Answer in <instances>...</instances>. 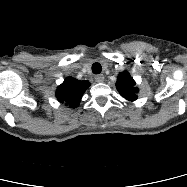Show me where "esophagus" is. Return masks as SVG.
Masks as SVG:
<instances>
[{"label":"esophagus","mask_w":187,"mask_h":187,"mask_svg":"<svg viewBox=\"0 0 187 187\" xmlns=\"http://www.w3.org/2000/svg\"><path fill=\"white\" fill-rule=\"evenodd\" d=\"M95 81L98 82V83L103 82L104 81V75H102V74L96 75L95 76Z\"/></svg>","instance_id":"1"}]
</instances>
